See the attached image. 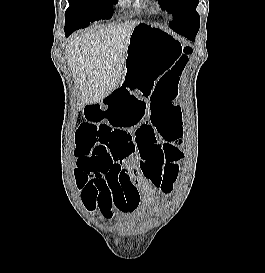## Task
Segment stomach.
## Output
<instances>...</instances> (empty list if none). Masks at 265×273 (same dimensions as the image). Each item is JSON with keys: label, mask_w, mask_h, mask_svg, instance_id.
Instances as JSON below:
<instances>
[{"label": "stomach", "mask_w": 265, "mask_h": 273, "mask_svg": "<svg viewBox=\"0 0 265 273\" xmlns=\"http://www.w3.org/2000/svg\"><path fill=\"white\" fill-rule=\"evenodd\" d=\"M181 44L162 27L139 23L133 30L125 61V73L115 90L150 95V89L177 59Z\"/></svg>", "instance_id": "obj_1"}]
</instances>
